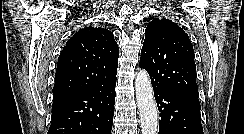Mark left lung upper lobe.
Here are the masks:
<instances>
[{
	"label": "left lung upper lobe",
	"mask_w": 244,
	"mask_h": 134,
	"mask_svg": "<svg viewBox=\"0 0 244 134\" xmlns=\"http://www.w3.org/2000/svg\"><path fill=\"white\" fill-rule=\"evenodd\" d=\"M193 46L176 23L155 18L145 30L140 67L151 78L153 89L198 94Z\"/></svg>",
	"instance_id": "1"
}]
</instances>
